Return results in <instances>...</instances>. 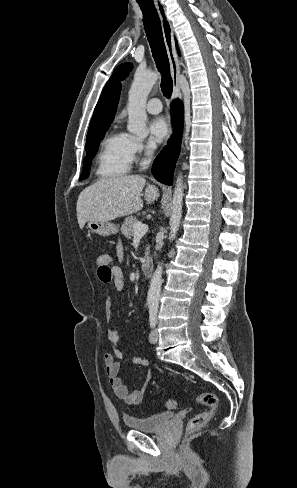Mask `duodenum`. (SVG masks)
<instances>
[{"mask_svg": "<svg viewBox=\"0 0 297 488\" xmlns=\"http://www.w3.org/2000/svg\"><path fill=\"white\" fill-rule=\"evenodd\" d=\"M142 271L146 276L151 275L153 271V262L150 258L146 259L142 264Z\"/></svg>", "mask_w": 297, "mask_h": 488, "instance_id": "1", "label": "duodenum"}]
</instances>
